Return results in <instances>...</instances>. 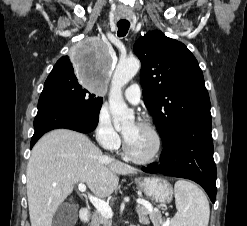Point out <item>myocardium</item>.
Wrapping results in <instances>:
<instances>
[{
  "mask_svg": "<svg viewBox=\"0 0 247 226\" xmlns=\"http://www.w3.org/2000/svg\"><path fill=\"white\" fill-rule=\"evenodd\" d=\"M138 125L147 128L154 135L155 140H156V148H155L154 153L147 158H140V157L134 156L131 153L125 138L123 139V145H122L123 153L128 160H130L136 164H141V165L152 164V163L156 162L161 156L162 149H163L162 136H161L159 130L157 129V127L153 123H151L147 120L140 121L138 123Z\"/></svg>",
  "mask_w": 247,
  "mask_h": 226,
  "instance_id": "obj_1",
  "label": "myocardium"
}]
</instances>
